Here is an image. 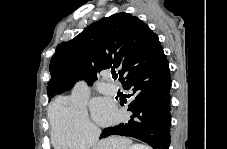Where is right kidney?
Masks as SVG:
<instances>
[{"mask_svg": "<svg viewBox=\"0 0 227 149\" xmlns=\"http://www.w3.org/2000/svg\"><path fill=\"white\" fill-rule=\"evenodd\" d=\"M129 149H148V147L140 144H135V145H132V147H130Z\"/></svg>", "mask_w": 227, "mask_h": 149, "instance_id": "1", "label": "right kidney"}]
</instances>
